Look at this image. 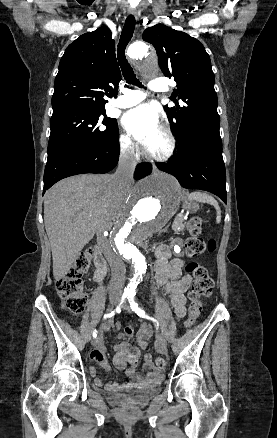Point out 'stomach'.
I'll return each mask as SVG.
<instances>
[{
  "label": "stomach",
  "mask_w": 277,
  "mask_h": 438,
  "mask_svg": "<svg viewBox=\"0 0 277 438\" xmlns=\"http://www.w3.org/2000/svg\"><path fill=\"white\" fill-rule=\"evenodd\" d=\"M183 208L194 213L198 210L199 205L194 200H190L189 198L184 199Z\"/></svg>",
  "instance_id": "1"
}]
</instances>
